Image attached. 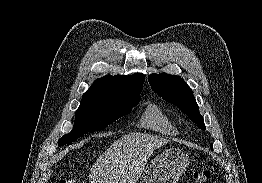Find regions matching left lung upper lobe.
Returning <instances> with one entry per match:
<instances>
[{
  "instance_id": "left-lung-upper-lobe-1",
  "label": "left lung upper lobe",
  "mask_w": 262,
  "mask_h": 183,
  "mask_svg": "<svg viewBox=\"0 0 262 183\" xmlns=\"http://www.w3.org/2000/svg\"><path fill=\"white\" fill-rule=\"evenodd\" d=\"M148 80L155 93L180 108L200 129L206 128L193 91L180 76L153 73L148 76ZM211 148H213L212 144Z\"/></svg>"
}]
</instances>
